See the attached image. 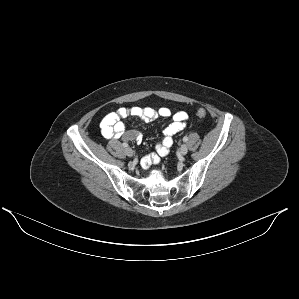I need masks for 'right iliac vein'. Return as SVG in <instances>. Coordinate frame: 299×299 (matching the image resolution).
Wrapping results in <instances>:
<instances>
[{"mask_svg": "<svg viewBox=\"0 0 299 299\" xmlns=\"http://www.w3.org/2000/svg\"><path fill=\"white\" fill-rule=\"evenodd\" d=\"M126 154L129 157H132L134 155V151L131 148H126Z\"/></svg>", "mask_w": 299, "mask_h": 299, "instance_id": "63e3f726", "label": "right iliac vein"}]
</instances>
